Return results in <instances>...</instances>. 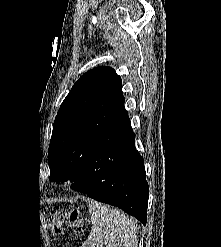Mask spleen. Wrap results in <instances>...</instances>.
<instances>
[{"label": "spleen", "mask_w": 221, "mask_h": 247, "mask_svg": "<svg viewBox=\"0 0 221 247\" xmlns=\"http://www.w3.org/2000/svg\"><path fill=\"white\" fill-rule=\"evenodd\" d=\"M92 231L84 247H137L135 222L118 209L105 205L93 208Z\"/></svg>", "instance_id": "1"}]
</instances>
